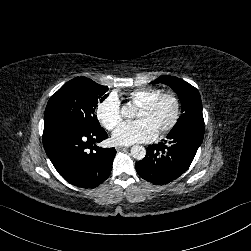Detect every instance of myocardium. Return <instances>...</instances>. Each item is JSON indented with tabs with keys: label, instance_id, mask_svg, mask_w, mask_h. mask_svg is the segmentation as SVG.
I'll use <instances>...</instances> for the list:
<instances>
[{
	"label": "myocardium",
	"instance_id": "1",
	"mask_svg": "<svg viewBox=\"0 0 251 251\" xmlns=\"http://www.w3.org/2000/svg\"><path fill=\"white\" fill-rule=\"evenodd\" d=\"M172 99L175 103V115L173 119L166 125L161 126L159 129L161 132H167L174 129L181 120L182 117V100L179 95L175 92H163L157 97L153 98L146 104L141 105V107L145 110L152 111L154 110L164 99Z\"/></svg>",
	"mask_w": 251,
	"mask_h": 251
}]
</instances>
